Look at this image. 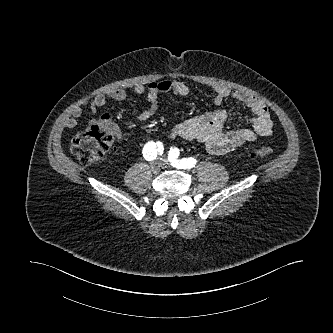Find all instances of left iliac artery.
Here are the masks:
<instances>
[{
	"instance_id": "obj_1",
	"label": "left iliac artery",
	"mask_w": 333,
	"mask_h": 333,
	"mask_svg": "<svg viewBox=\"0 0 333 333\" xmlns=\"http://www.w3.org/2000/svg\"><path fill=\"white\" fill-rule=\"evenodd\" d=\"M179 150L178 148H171L168 152V159L171 162V165L177 168L186 169L192 168L196 165L197 160L195 158H183L181 160L178 159L179 157Z\"/></svg>"
}]
</instances>
